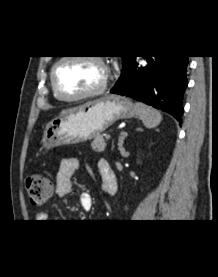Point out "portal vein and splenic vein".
<instances>
[{
  "mask_svg": "<svg viewBox=\"0 0 218 277\" xmlns=\"http://www.w3.org/2000/svg\"><path fill=\"white\" fill-rule=\"evenodd\" d=\"M111 138V135L110 134H107L106 136H105V139L106 140H109Z\"/></svg>",
  "mask_w": 218,
  "mask_h": 277,
  "instance_id": "1",
  "label": "portal vein and splenic vein"
}]
</instances>
